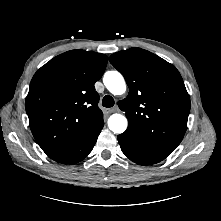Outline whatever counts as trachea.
I'll use <instances>...</instances> for the list:
<instances>
[{"mask_svg":"<svg viewBox=\"0 0 221 221\" xmlns=\"http://www.w3.org/2000/svg\"><path fill=\"white\" fill-rule=\"evenodd\" d=\"M114 99L112 96L110 95H106L104 96L103 100H102V105L106 108H110L114 106Z\"/></svg>","mask_w":221,"mask_h":221,"instance_id":"1","label":"trachea"}]
</instances>
